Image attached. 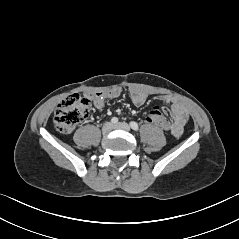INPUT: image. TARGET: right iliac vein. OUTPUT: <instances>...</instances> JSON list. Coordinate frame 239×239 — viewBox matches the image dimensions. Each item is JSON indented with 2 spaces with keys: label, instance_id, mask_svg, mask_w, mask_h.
Returning a JSON list of instances; mask_svg holds the SVG:
<instances>
[{
  "label": "right iliac vein",
  "instance_id": "63e3f726",
  "mask_svg": "<svg viewBox=\"0 0 239 239\" xmlns=\"http://www.w3.org/2000/svg\"><path fill=\"white\" fill-rule=\"evenodd\" d=\"M113 129V125L110 122H106L103 127H102V132L103 133H109Z\"/></svg>",
  "mask_w": 239,
  "mask_h": 239
}]
</instances>
